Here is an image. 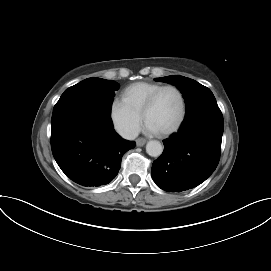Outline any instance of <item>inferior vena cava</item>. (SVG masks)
Wrapping results in <instances>:
<instances>
[{"label": "inferior vena cava", "mask_w": 271, "mask_h": 271, "mask_svg": "<svg viewBox=\"0 0 271 271\" xmlns=\"http://www.w3.org/2000/svg\"><path fill=\"white\" fill-rule=\"evenodd\" d=\"M137 130H128L123 133V137L128 140H134L138 136Z\"/></svg>", "instance_id": "1"}]
</instances>
